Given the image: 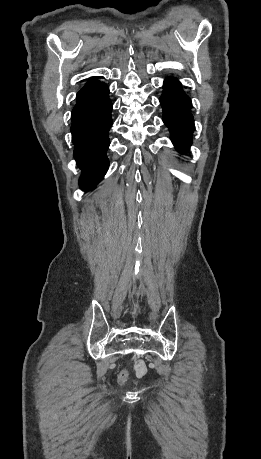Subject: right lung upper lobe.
I'll list each match as a JSON object with an SVG mask.
<instances>
[{
    "instance_id": "1",
    "label": "right lung upper lobe",
    "mask_w": 261,
    "mask_h": 459,
    "mask_svg": "<svg viewBox=\"0 0 261 459\" xmlns=\"http://www.w3.org/2000/svg\"><path fill=\"white\" fill-rule=\"evenodd\" d=\"M101 84L100 81L96 80V78L92 77L90 80L85 84V86L77 93V97L84 94L85 92L89 91L90 89L94 88L95 86Z\"/></svg>"
}]
</instances>
